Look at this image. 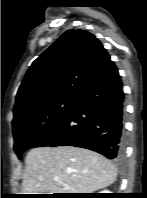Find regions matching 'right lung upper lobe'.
<instances>
[{"label":"right lung upper lobe","mask_w":147,"mask_h":198,"mask_svg":"<svg viewBox=\"0 0 147 198\" xmlns=\"http://www.w3.org/2000/svg\"><path fill=\"white\" fill-rule=\"evenodd\" d=\"M112 61L86 30H68L30 66L19 87L14 120L45 103L76 99Z\"/></svg>","instance_id":"cb5924a9"}]
</instances>
